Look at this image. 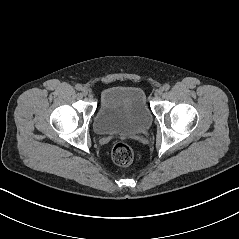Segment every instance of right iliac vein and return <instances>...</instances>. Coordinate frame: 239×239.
<instances>
[{
    "label": "right iliac vein",
    "mask_w": 239,
    "mask_h": 239,
    "mask_svg": "<svg viewBox=\"0 0 239 239\" xmlns=\"http://www.w3.org/2000/svg\"><path fill=\"white\" fill-rule=\"evenodd\" d=\"M81 91H82L83 95H85V96L88 95V89L87 88L83 87Z\"/></svg>",
    "instance_id": "1"
}]
</instances>
